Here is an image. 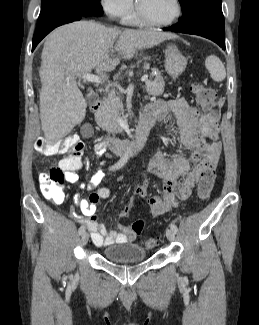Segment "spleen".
Masks as SVG:
<instances>
[{
    "label": "spleen",
    "mask_w": 259,
    "mask_h": 325,
    "mask_svg": "<svg viewBox=\"0 0 259 325\" xmlns=\"http://www.w3.org/2000/svg\"><path fill=\"white\" fill-rule=\"evenodd\" d=\"M205 67L214 81L221 82L226 78L225 67L217 56H208L205 60Z\"/></svg>",
    "instance_id": "spleen-1"
}]
</instances>
